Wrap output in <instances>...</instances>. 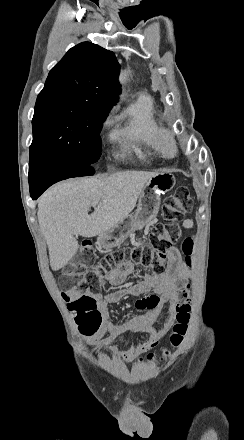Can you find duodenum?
<instances>
[{
  "instance_id": "1",
  "label": "duodenum",
  "mask_w": 244,
  "mask_h": 440,
  "mask_svg": "<svg viewBox=\"0 0 244 440\" xmlns=\"http://www.w3.org/2000/svg\"><path fill=\"white\" fill-rule=\"evenodd\" d=\"M98 240L99 242L106 244L111 241V238L109 236H100Z\"/></svg>"
}]
</instances>
